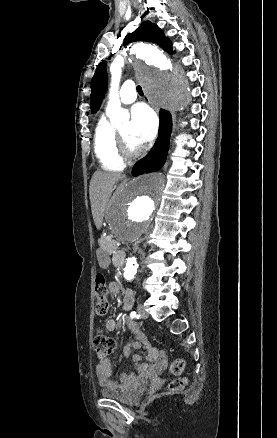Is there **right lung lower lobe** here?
<instances>
[{"label":"right lung lower lobe","mask_w":277,"mask_h":438,"mask_svg":"<svg viewBox=\"0 0 277 438\" xmlns=\"http://www.w3.org/2000/svg\"><path fill=\"white\" fill-rule=\"evenodd\" d=\"M171 131L172 116L168 111L161 109L160 129L156 143L149 154L135 164L132 170L134 176L154 172L162 168L169 150Z\"/></svg>","instance_id":"right-lung-lower-lobe-1"}]
</instances>
